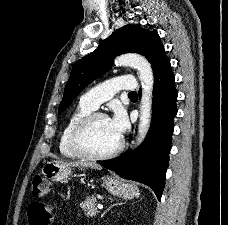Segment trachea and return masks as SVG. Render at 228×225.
Instances as JSON below:
<instances>
[{
  "mask_svg": "<svg viewBox=\"0 0 228 225\" xmlns=\"http://www.w3.org/2000/svg\"><path fill=\"white\" fill-rule=\"evenodd\" d=\"M128 95H129V96H136L137 94H136V92H129Z\"/></svg>",
  "mask_w": 228,
  "mask_h": 225,
  "instance_id": "obj_1",
  "label": "trachea"
}]
</instances>
